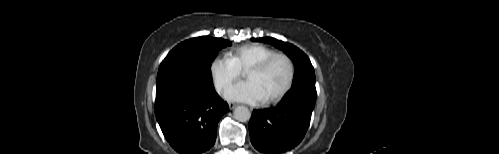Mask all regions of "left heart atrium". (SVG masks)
<instances>
[{"label": "left heart atrium", "instance_id": "left-heart-atrium-1", "mask_svg": "<svg viewBox=\"0 0 499 154\" xmlns=\"http://www.w3.org/2000/svg\"><path fill=\"white\" fill-rule=\"evenodd\" d=\"M228 100L257 104L265 101V97L253 81L238 82L229 87L225 92Z\"/></svg>", "mask_w": 499, "mask_h": 154}]
</instances>
